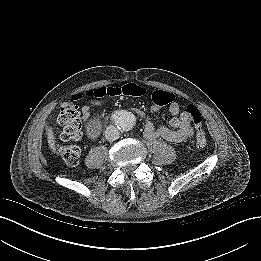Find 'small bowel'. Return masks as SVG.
<instances>
[{"instance_id":"c3829d8e","label":"small bowel","mask_w":261,"mask_h":261,"mask_svg":"<svg viewBox=\"0 0 261 261\" xmlns=\"http://www.w3.org/2000/svg\"><path fill=\"white\" fill-rule=\"evenodd\" d=\"M104 103L102 99L88 100L81 108L83 121H88L91 115V108L93 106H101ZM161 106L154 103L151 107L152 112H157ZM169 113L172 118L169 122L170 127L166 125L156 126L153 122L147 121L145 123V135L148 138H162L174 143H184L188 141L194 134L192 127V119L185 111H180V106L177 101L172 100L168 104ZM142 116L143 114L140 113Z\"/></svg>"}]
</instances>
